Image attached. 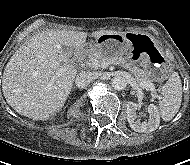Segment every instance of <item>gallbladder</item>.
I'll list each match as a JSON object with an SVG mask.
<instances>
[{
	"label": "gallbladder",
	"instance_id": "gallbladder-1",
	"mask_svg": "<svg viewBox=\"0 0 190 165\" xmlns=\"http://www.w3.org/2000/svg\"><path fill=\"white\" fill-rule=\"evenodd\" d=\"M66 52H73V48H70L69 50H66Z\"/></svg>",
	"mask_w": 190,
	"mask_h": 165
}]
</instances>
